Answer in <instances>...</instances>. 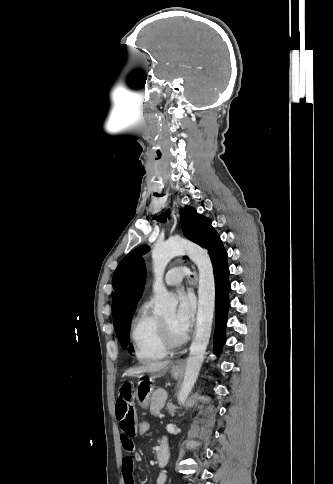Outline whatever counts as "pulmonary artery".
Masks as SVG:
<instances>
[{"label": "pulmonary artery", "instance_id": "e3ab8cb5", "mask_svg": "<svg viewBox=\"0 0 333 484\" xmlns=\"http://www.w3.org/2000/svg\"><path fill=\"white\" fill-rule=\"evenodd\" d=\"M188 271L184 267L177 266L174 268H171L164 279V282L168 286H175L181 283L183 277L185 274H187Z\"/></svg>", "mask_w": 333, "mask_h": 484}]
</instances>
